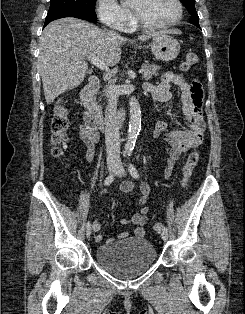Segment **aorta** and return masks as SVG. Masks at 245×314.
Returning <instances> with one entry per match:
<instances>
[{
    "instance_id": "aorta-1",
    "label": "aorta",
    "mask_w": 245,
    "mask_h": 314,
    "mask_svg": "<svg viewBox=\"0 0 245 314\" xmlns=\"http://www.w3.org/2000/svg\"><path fill=\"white\" fill-rule=\"evenodd\" d=\"M130 105V121L128 130V140L125 145V151L131 153L134 149L137 136L141 130V109L136 98L131 97Z\"/></svg>"
}]
</instances>
